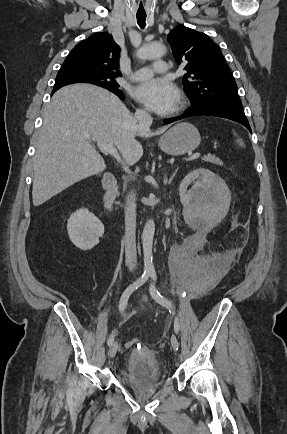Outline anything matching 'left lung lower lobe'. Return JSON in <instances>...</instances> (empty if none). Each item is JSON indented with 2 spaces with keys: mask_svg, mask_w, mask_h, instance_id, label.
I'll return each instance as SVG.
<instances>
[{
  "mask_svg": "<svg viewBox=\"0 0 287 434\" xmlns=\"http://www.w3.org/2000/svg\"><path fill=\"white\" fill-rule=\"evenodd\" d=\"M198 115H209V116H217V117L231 119L244 125L249 131H251L249 122L244 114L242 105H237V104H222L219 106H204V105L193 106L189 108L183 115L177 118L165 119L164 123L169 124L183 118H187L190 116H198Z\"/></svg>",
  "mask_w": 287,
  "mask_h": 434,
  "instance_id": "1",
  "label": "left lung lower lobe"
}]
</instances>
